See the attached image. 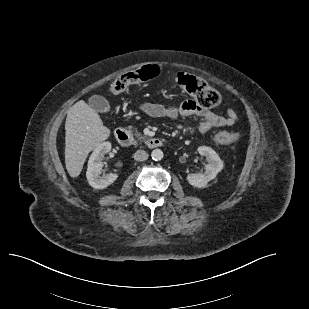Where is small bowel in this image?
I'll return each mask as SVG.
<instances>
[{
	"label": "small bowel",
	"mask_w": 309,
	"mask_h": 309,
	"mask_svg": "<svg viewBox=\"0 0 309 309\" xmlns=\"http://www.w3.org/2000/svg\"><path fill=\"white\" fill-rule=\"evenodd\" d=\"M141 112L155 118L176 119L179 116H197L201 118L198 130L207 133L213 128L229 127L236 123L238 116L231 108H226L224 115L216 114L200 107L194 100H186L179 105L165 106L156 103H144L140 106Z\"/></svg>",
	"instance_id": "c3829d8e"
}]
</instances>
